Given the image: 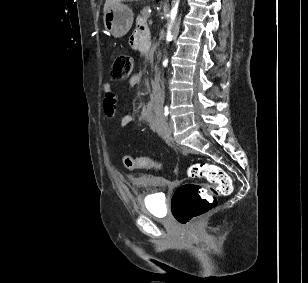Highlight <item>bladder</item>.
<instances>
[{"label":"bladder","mask_w":308,"mask_h":283,"mask_svg":"<svg viewBox=\"0 0 308 283\" xmlns=\"http://www.w3.org/2000/svg\"><path fill=\"white\" fill-rule=\"evenodd\" d=\"M142 211L152 217H164V199L161 192L147 193L142 199Z\"/></svg>","instance_id":"bladder-1"}]
</instances>
